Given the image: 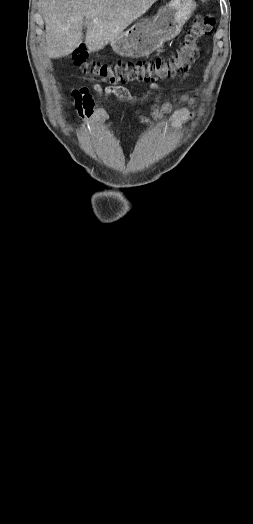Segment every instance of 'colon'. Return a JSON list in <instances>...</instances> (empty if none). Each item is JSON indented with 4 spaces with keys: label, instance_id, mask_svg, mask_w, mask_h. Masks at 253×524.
<instances>
[{
    "label": "colon",
    "instance_id": "colon-1",
    "mask_svg": "<svg viewBox=\"0 0 253 524\" xmlns=\"http://www.w3.org/2000/svg\"><path fill=\"white\" fill-rule=\"evenodd\" d=\"M215 20L206 15L195 19L190 29L186 32L179 48L167 58H157L150 61L139 62H117L110 65L98 64L87 60L84 47L76 50L73 54L75 66L98 81L100 84H108L109 89L118 82L143 81L154 82L160 79L174 77L177 72L185 71L198 56L199 41L209 37L213 33ZM81 113L90 115L92 101H84L78 105Z\"/></svg>",
    "mask_w": 253,
    "mask_h": 524
}]
</instances>
